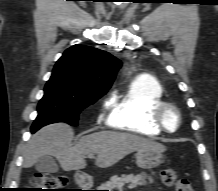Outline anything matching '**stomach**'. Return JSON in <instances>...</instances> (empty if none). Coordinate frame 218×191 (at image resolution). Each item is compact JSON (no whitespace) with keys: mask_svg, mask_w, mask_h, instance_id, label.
Here are the masks:
<instances>
[{"mask_svg":"<svg viewBox=\"0 0 218 191\" xmlns=\"http://www.w3.org/2000/svg\"><path fill=\"white\" fill-rule=\"evenodd\" d=\"M164 162L161 152L155 150H139L136 153V164L142 169H152ZM75 180L78 184H84L87 181L86 174L77 172L75 174Z\"/></svg>","mask_w":218,"mask_h":191,"instance_id":"0dacf381","label":"stomach"}]
</instances>
